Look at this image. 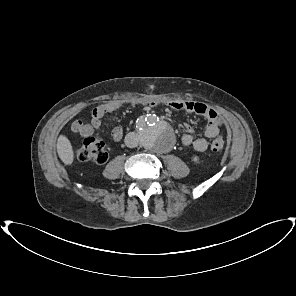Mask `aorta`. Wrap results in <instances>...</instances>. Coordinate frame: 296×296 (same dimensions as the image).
I'll use <instances>...</instances> for the list:
<instances>
[{"mask_svg": "<svg viewBox=\"0 0 296 296\" xmlns=\"http://www.w3.org/2000/svg\"><path fill=\"white\" fill-rule=\"evenodd\" d=\"M140 144L156 153L168 152L174 145V132L168 123L156 115H148L137 120Z\"/></svg>", "mask_w": 296, "mask_h": 296, "instance_id": "obj_1", "label": "aorta"}]
</instances>
